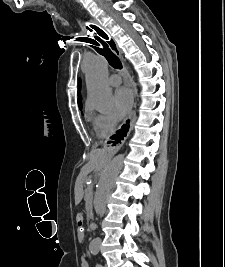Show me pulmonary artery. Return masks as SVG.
Masks as SVG:
<instances>
[{"mask_svg":"<svg viewBox=\"0 0 225 267\" xmlns=\"http://www.w3.org/2000/svg\"><path fill=\"white\" fill-rule=\"evenodd\" d=\"M108 82L111 86H118L121 83V78L117 74H112L109 77Z\"/></svg>","mask_w":225,"mask_h":267,"instance_id":"obj_1","label":"pulmonary artery"}]
</instances>
